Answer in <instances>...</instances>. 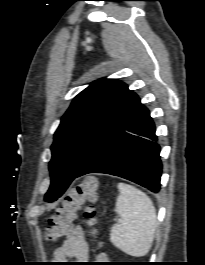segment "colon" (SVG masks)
I'll return each instance as SVG.
<instances>
[{"label":"colon","instance_id":"5ec220e1","mask_svg":"<svg viewBox=\"0 0 205 265\" xmlns=\"http://www.w3.org/2000/svg\"><path fill=\"white\" fill-rule=\"evenodd\" d=\"M98 195V180L94 176L84 178L76 188L65 198L56 213L52 215L45 228V236L48 240H56L72 229V223L76 217L77 211L82 205L88 203L84 209V215L87 225L94 233L95 217L92 204L96 201ZM104 254H99L97 259L102 261ZM101 263V262H99Z\"/></svg>","mask_w":205,"mask_h":265}]
</instances>
